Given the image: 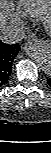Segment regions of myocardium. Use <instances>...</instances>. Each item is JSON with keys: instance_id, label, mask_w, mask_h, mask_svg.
Instances as JSON below:
<instances>
[{"instance_id": "f54148a6", "label": "myocardium", "mask_w": 51, "mask_h": 153, "mask_svg": "<svg viewBox=\"0 0 51 153\" xmlns=\"http://www.w3.org/2000/svg\"><path fill=\"white\" fill-rule=\"evenodd\" d=\"M43 25L45 28H48L50 26V15L47 14L44 18H43Z\"/></svg>"}]
</instances>
